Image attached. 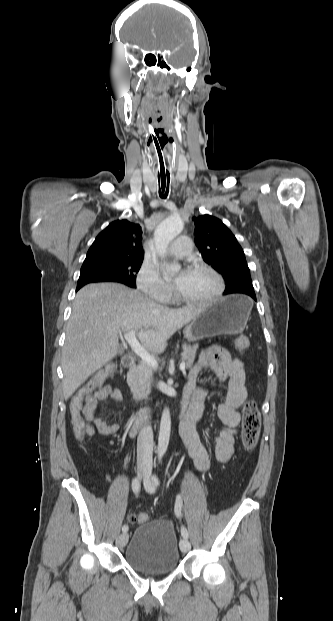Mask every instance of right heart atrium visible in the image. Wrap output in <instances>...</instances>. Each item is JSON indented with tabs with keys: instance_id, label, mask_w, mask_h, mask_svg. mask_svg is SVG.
Segmentation results:
<instances>
[{
	"instance_id": "right-heart-atrium-1",
	"label": "right heart atrium",
	"mask_w": 333,
	"mask_h": 621,
	"mask_svg": "<svg viewBox=\"0 0 333 621\" xmlns=\"http://www.w3.org/2000/svg\"><path fill=\"white\" fill-rule=\"evenodd\" d=\"M136 283L138 289L154 301L167 303L172 297V287L160 277L154 266L147 263L140 267Z\"/></svg>"
}]
</instances>
